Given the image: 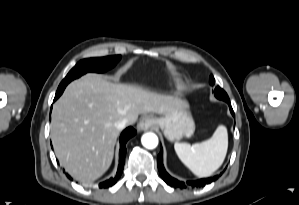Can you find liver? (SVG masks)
<instances>
[{
  "mask_svg": "<svg viewBox=\"0 0 299 205\" xmlns=\"http://www.w3.org/2000/svg\"><path fill=\"white\" fill-rule=\"evenodd\" d=\"M181 103L171 95L88 73L71 82L54 104L51 140L56 157L73 178L90 183L112 163L118 121L126 118L131 125L140 114H171Z\"/></svg>",
  "mask_w": 299,
  "mask_h": 205,
  "instance_id": "1",
  "label": "liver"
}]
</instances>
